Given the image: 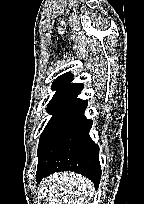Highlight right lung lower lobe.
Listing matches in <instances>:
<instances>
[{
	"label": "right lung lower lobe",
	"mask_w": 144,
	"mask_h": 204,
	"mask_svg": "<svg viewBox=\"0 0 144 204\" xmlns=\"http://www.w3.org/2000/svg\"><path fill=\"white\" fill-rule=\"evenodd\" d=\"M86 108L87 101L75 99L60 119L38 155V182L48 174L70 170L86 176L98 187L101 177L99 148L89 136L92 120L85 117Z\"/></svg>",
	"instance_id": "obj_1"
}]
</instances>
